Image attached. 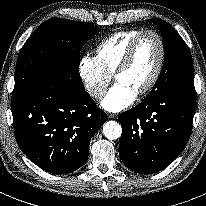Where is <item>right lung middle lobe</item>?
Returning <instances> with one entry per match:
<instances>
[{"instance_id": "dd1d6c3e", "label": "right lung middle lobe", "mask_w": 206, "mask_h": 206, "mask_svg": "<svg viewBox=\"0 0 206 206\" xmlns=\"http://www.w3.org/2000/svg\"><path fill=\"white\" fill-rule=\"evenodd\" d=\"M98 31L92 24L61 18L42 23L20 50L12 99L49 78L84 91L79 74L80 50Z\"/></svg>"}]
</instances>
